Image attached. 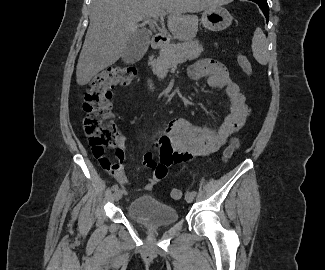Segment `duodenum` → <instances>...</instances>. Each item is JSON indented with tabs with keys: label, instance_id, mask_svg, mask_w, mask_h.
<instances>
[{
	"label": "duodenum",
	"instance_id": "obj_1",
	"mask_svg": "<svg viewBox=\"0 0 325 270\" xmlns=\"http://www.w3.org/2000/svg\"><path fill=\"white\" fill-rule=\"evenodd\" d=\"M166 41V37L163 33H155L152 36V48L159 49L163 46Z\"/></svg>",
	"mask_w": 325,
	"mask_h": 270
}]
</instances>
